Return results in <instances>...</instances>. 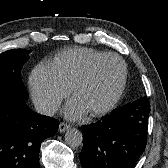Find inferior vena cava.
I'll return each mask as SVG.
<instances>
[{"instance_id":"obj_1","label":"inferior vena cava","mask_w":168,"mask_h":168,"mask_svg":"<svg viewBox=\"0 0 168 168\" xmlns=\"http://www.w3.org/2000/svg\"><path fill=\"white\" fill-rule=\"evenodd\" d=\"M35 109L39 114L53 116L57 111L58 106L52 102H40L35 104Z\"/></svg>"}]
</instances>
